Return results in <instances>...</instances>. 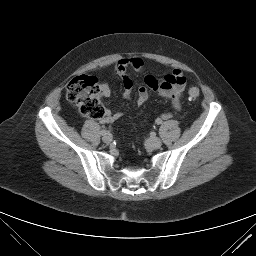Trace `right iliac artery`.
Listing matches in <instances>:
<instances>
[{"label": "right iliac artery", "instance_id": "1", "mask_svg": "<svg viewBox=\"0 0 256 256\" xmlns=\"http://www.w3.org/2000/svg\"><path fill=\"white\" fill-rule=\"evenodd\" d=\"M107 132H108V131H107L106 129H103V130L100 131V134H101V135H105Z\"/></svg>", "mask_w": 256, "mask_h": 256}]
</instances>
